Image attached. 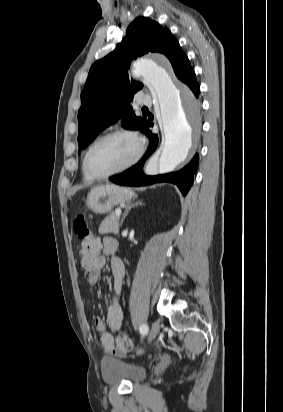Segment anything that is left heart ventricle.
<instances>
[{"instance_id":"left-heart-ventricle-1","label":"left heart ventricle","mask_w":283,"mask_h":412,"mask_svg":"<svg viewBox=\"0 0 283 412\" xmlns=\"http://www.w3.org/2000/svg\"><path fill=\"white\" fill-rule=\"evenodd\" d=\"M135 141L114 136L100 143L91 153L89 166L96 174H106L127 164L136 154Z\"/></svg>"}]
</instances>
